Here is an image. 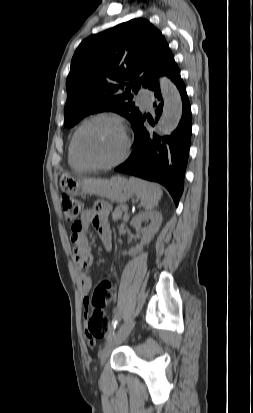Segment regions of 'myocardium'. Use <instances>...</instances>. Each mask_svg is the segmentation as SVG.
Listing matches in <instances>:
<instances>
[{
  "label": "myocardium",
  "instance_id": "f54148a6",
  "mask_svg": "<svg viewBox=\"0 0 253 413\" xmlns=\"http://www.w3.org/2000/svg\"><path fill=\"white\" fill-rule=\"evenodd\" d=\"M99 120H105V121H110L115 123L123 136V150L121 152V154L114 160L110 161V162H106V163H94L91 162L89 160H87L80 151L79 148V136L81 134V132L83 131V129L89 125L92 122L95 121H99ZM73 149H74V153L76 158L78 159V161L84 165L86 168H90V169H109V168H113L117 165H119L120 163H122L128 156L129 154V150H130V138L128 135V130L126 125L124 124V122L117 116L115 115H111V114H96L93 115L91 117H89L88 119H86L84 122H82L78 128L76 129L74 135H73Z\"/></svg>",
  "mask_w": 253,
  "mask_h": 413
}]
</instances>
